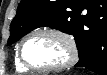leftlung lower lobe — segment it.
<instances>
[{"mask_svg": "<svg viewBox=\"0 0 107 75\" xmlns=\"http://www.w3.org/2000/svg\"><path fill=\"white\" fill-rule=\"evenodd\" d=\"M85 5L97 16L107 17V0H86ZM83 42L84 51L75 66L85 67L99 75H107V40H99L86 34Z\"/></svg>", "mask_w": 107, "mask_h": 75, "instance_id": "1", "label": "left lung lower lobe"}]
</instances>
